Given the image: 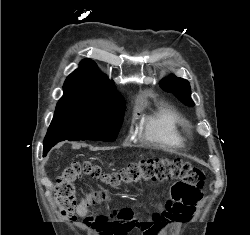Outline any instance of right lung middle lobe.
Returning <instances> with one entry per match:
<instances>
[{"mask_svg": "<svg viewBox=\"0 0 250 235\" xmlns=\"http://www.w3.org/2000/svg\"><path fill=\"white\" fill-rule=\"evenodd\" d=\"M125 102L109 99H60L44 144L63 140L115 141L122 125Z\"/></svg>", "mask_w": 250, "mask_h": 235, "instance_id": "right-lung-middle-lobe-1", "label": "right lung middle lobe"}]
</instances>
